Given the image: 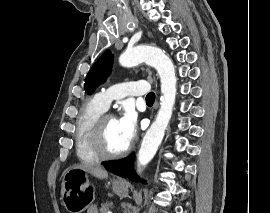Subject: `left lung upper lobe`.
<instances>
[{
	"mask_svg": "<svg viewBox=\"0 0 270 213\" xmlns=\"http://www.w3.org/2000/svg\"><path fill=\"white\" fill-rule=\"evenodd\" d=\"M113 55L110 50L105 51L93 65L85 79V91L91 94L110 75Z\"/></svg>",
	"mask_w": 270,
	"mask_h": 213,
	"instance_id": "5c2ea615",
	"label": "left lung upper lobe"
}]
</instances>
